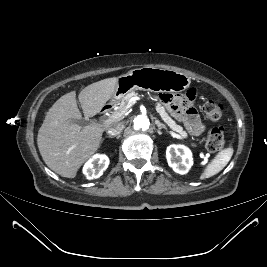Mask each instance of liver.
<instances>
[{"label":"liver","instance_id":"6515ba94","mask_svg":"<svg viewBox=\"0 0 267 267\" xmlns=\"http://www.w3.org/2000/svg\"><path fill=\"white\" fill-rule=\"evenodd\" d=\"M118 77L92 83L79 93L84 116L93 117L112 98ZM71 119H82L76 92L60 97L47 112L38 131L37 145L45 164L55 173L74 178L79 168L99 148L102 134L111 124L93 123L82 127Z\"/></svg>","mask_w":267,"mask_h":267}]
</instances>
